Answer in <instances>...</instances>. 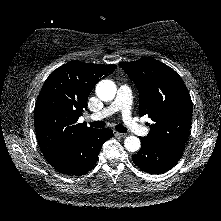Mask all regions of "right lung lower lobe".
I'll use <instances>...</instances> for the list:
<instances>
[{"label": "right lung lower lobe", "mask_w": 221, "mask_h": 221, "mask_svg": "<svg viewBox=\"0 0 221 221\" xmlns=\"http://www.w3.org/2000/svg\"><path fill=\"white\" fill-rule=\"evenodd\" d=\"M112 133L110 129H95L51 165L60 173L76 176L85 174L97 162L102 144L112 137Z\"/></svg>", "instance_id": "98d812e1"}]
</instances>
